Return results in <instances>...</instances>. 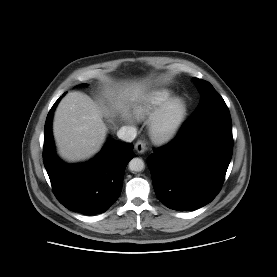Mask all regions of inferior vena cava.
<instances>
[{"mask_svg": "<svg viewBox=\"0 0 277 277\" xmlns=\"http://www.w3.org/2000/svg\"><path fill=\"white\" fill-rule=\"evenodd\" d=\"M117 136L123 141L132 142L137 136V131L135 127L123 126L118 130Z\"/></svg>", "mask_w": 277, "mask_h": 277, "instance_id": "inferior-vena-cava-1", "label": "inferior vena cava"}]
</instances>
